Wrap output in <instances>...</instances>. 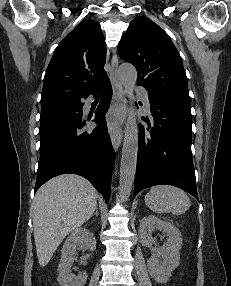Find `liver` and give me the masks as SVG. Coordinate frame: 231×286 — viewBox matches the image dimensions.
I'll return each instance as SVG.
<instances>
[{
  "label": "liver",
  "instance_id": "6515ba94",
  "mask_svg": "<svg viewBox=\"0 0 231 286\" xmlns=\"http://www.w3.org/2000/svg\"><path fill=\"white\" fill-rule=\"evenodd\" d=\"M96 207V190L81 176L60 175L39 188L32 207V219L41 267L49 263L70 232L91 218Z\"/></svg>",
  "mask_w": 231,
  "mask_h": 286
}]
</instances>
